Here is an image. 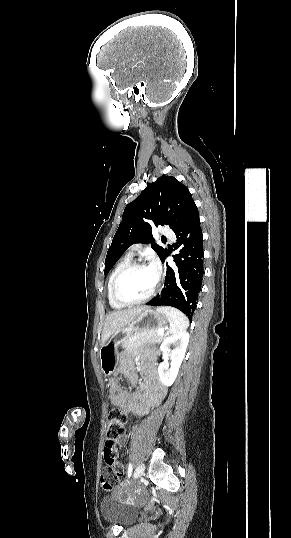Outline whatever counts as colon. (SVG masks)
Returning <instances> with one entry per match:
<instances>
[{
  "label": "colon",
  "instance_id": "1",
  "mask_svg": "<svg viewBox=\"0 0 291 538\" xmlns=\"http://www.w3.org/2000/svg\"><path fill=\"white\" fill-rule=\"evenodd\" d=\"M126 423L125 414L113 406L108 414V430L104 448L106 467L101 471L100 482L105 491H111L118 484L122 467L117 462L115 441L122 435Z\"/></svg>",
  "mask_w": 291,
  "mask_h": 538
}]
</instances>
